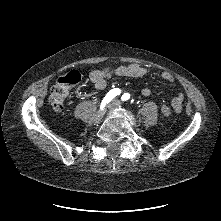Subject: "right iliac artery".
<instances>
[{"mask_svg": "<svg viewBox=\"0 0 221 221\" xmlns=\"http://www.w3.org/2000/svg\"><path fill=\"white\" fill-rule=\"evenodd\" d=\"M120 94V89H112L104 98L102 101L101 107H104L106 103H109L115 96Z\"/></svg>", "mask_w": 221, "mask_h": 221, "instance_id": "82829eb1", "label": "right iliac artery"}]
</instances>
